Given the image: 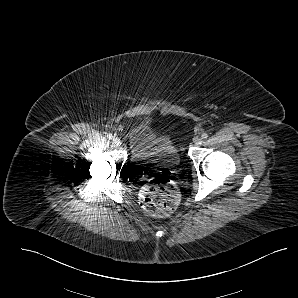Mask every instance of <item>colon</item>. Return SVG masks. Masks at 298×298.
<instances>
[{
	"label": "colon",
	"mask_w": 298,
	"mask_h": 298,
	"mask_svg": "<svg viewBox=\"0 0 298 298\" xmlns=\"http://www.w3.org/2000/svg\"><path fill=\"white\" fill-rule=\"evenodd\" d=\"M140 205L152 216H167L178 207L180 196L175 184L167 177L151 179L140 191Z\"/></svg>",
	"instance_id": "1"
}]
</instances>
